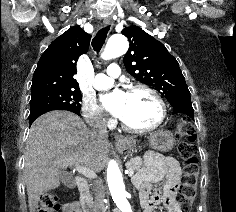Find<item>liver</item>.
Listing matches in <instances>:
<instances>
[{
	"label": "liver",
	"mask_w": 236,
	"mask_h": 212,
	"mask_svg": "<svg viewBox=\"0 0 236 212\" xmlns=\"http://www.w3.org/2000/svg\"><path fill=\"white\" fill-rule=\"evenodd\" d=\"M109 148L107 139L97 137L72 112L56 110L36 119L27 139L24 166L30 212H36L43 192L59 187L62 170L85 166L101 171Z\"/></svg>",
	"instance_id": "1"
}]
</instances>
